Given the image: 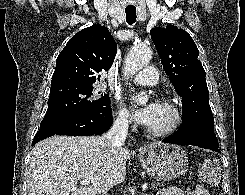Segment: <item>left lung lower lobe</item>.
<instances>
[{
  "label": "left lung lower lobe",
  "mask_w": 245,
  "mask_h": 195,
  "mask_svg": "<svg viewBox=\"0 0 245 195\" xmlns=\"http://www.w3.org/2000/svg\"><path fill=\"white\" fill-rule=\"evenodd\" d=\"M213 128V124L202 121L184 122L179 127L177 133L165 138L163 142L178 145H194L221 153Z\"/></svg>",
  "instance_id": "1"
}]
</instances>
